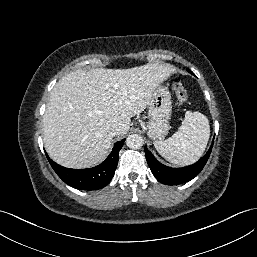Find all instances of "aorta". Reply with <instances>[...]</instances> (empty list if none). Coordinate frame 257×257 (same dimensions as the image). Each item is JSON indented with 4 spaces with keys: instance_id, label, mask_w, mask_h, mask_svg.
<instances>
[{
    "instance_id": "obj_1",
    "label": "aorta",
    "mask_w": 257,
    "mask_h": 257,
    "mask_svg": "<svg viewBox=\"0 0 257 257\" xmlns=\"http://www.w3.org/2000/svg\"><path fill=\"white\" fill-rule=\"evenodd\" d=\"M126 144L131 149H139L143 146V138L138 134H132L127 137Z\"/></svg>"
}]
</instances>
